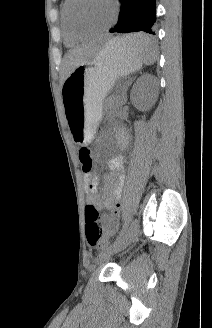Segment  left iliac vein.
I'll return each mask as SVG.
<instances>
[{
    "label": "left iliac vein",
    "mask_w": 212,
    "mask_h": 328,
    "mask_svg": "<svg viewBox=\"0 0 212 328\" xmlns=\"http://www.w3.org/2000/svg\"><path fill=\"white\" fill-rule=\"evenodd\" d=\"M139 229V222L137 219H135L127 232L121 237L119 240H117L113 245L110 247L104 249L99 253V255L96 257L91 270H95V268L101 264H103L105 261H107L110 256H112L115 253L120 252L121 250L125 249L136 237L137 232Z\"/></svg>",
    "instance_id": "1"
}]
</instances>
